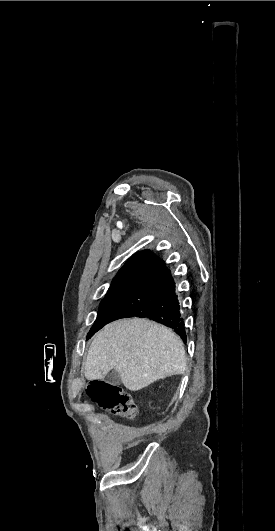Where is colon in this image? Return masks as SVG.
I'll list each match as a JSON object with an SVG mask.
<instances>
[{"instance_id":"1","label":"colon","mask_w":275,"mask_h":531,"mask_svg":"<svg viewBox=\"0 0 275 531\" xmlns=\"http://www.w3.org/2000/svg\"><path fill=\"white\" fill-rule=\"evenodd\" d=\"M88 396L100 408L109 413L132 419L137 415V408L132 398L124 389L113 382L96 380L87 386Z\"/></svg>"}]
</instances>
